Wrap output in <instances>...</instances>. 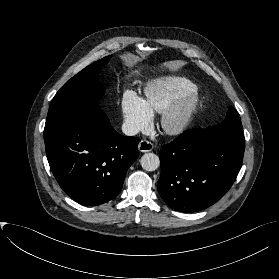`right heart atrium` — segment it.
Wrapping results in <instances>:
<instances>
[{
  "label": "right heart atrium",
  "instance_id": "obj_1",
  "mask_svg": "<svg viewBox=\"0 0 279 279\" xmlns=\"http://www.w3.org/2000/svg\"><path fill=\"white\" fill-rule=\"evenodd\" d=\"M121 112L126 130L137 134L148 129L152 115L145 101L133 91H126L121 100Z\"/></svg>",
  "mask_w": 279,
  "mask_h": 279
}]
</instances>
